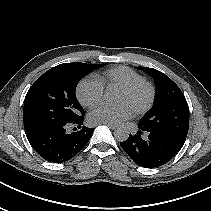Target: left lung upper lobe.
Instances as JSON below:
<instances>
[{"instance_id": "5c2ea615", "label": "left lung upper lobe", "mask_w": 211, "mask_h": 211, "mask_svg": "<svg viewBox=\"0 0 211 211\" xmlns=\"http://www.w3.org/2000/svg\"><path fill=\"white\" fill-rule=\"evenodd\" d=\"M152 76L157 91L154 107L140 120L139 127L162 133L184 144L189 128V107L180 88L164 73L148 67H137Z\"/></svg>"}]
</instances>
